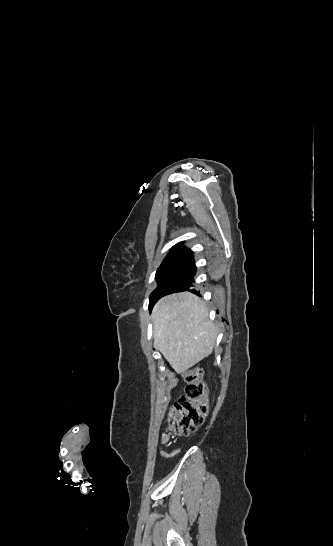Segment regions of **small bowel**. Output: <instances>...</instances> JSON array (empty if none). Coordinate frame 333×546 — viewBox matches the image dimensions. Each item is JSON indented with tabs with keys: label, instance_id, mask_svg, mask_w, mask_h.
<instances>
[{
	"label": "small bowel",
	"instance_id": "c3829d8e",
	"mask_svg": "<svg viewBox=\"0 0 333 546\" xmlns=\"http://www.w3.org/2000/svg\"><path fill=\"white\" fill-rule=\"evenodd\" d=\"M163 456H164V457H167V454L164 452V453H163Z\"/></svg>",
	"mask_w": 333,
	"mask_h": 546
}]
</instances>
